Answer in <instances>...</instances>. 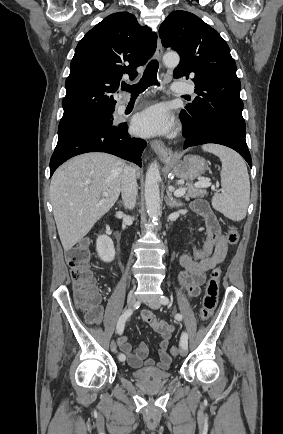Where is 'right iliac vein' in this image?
Returning a JSON list of instances; mask_svg holds the SVG:
<instances>
[{
  "mask_svg": "<svg viewBox=\"0 0 283 434\" xmlns=\"http://www.w3.org/2000/svg\"><path fill=\"white\" fill-rule=\"evenodd\" d=\"M136 302V297H135V293L134 290L130 291L127 297V307L128 309L132 308L134 306ZM110 349L113 353H116L117 349H116V343L115 341H112L110 344Z\"/></svg>",
  "mask_w": 283,
  "mask_h": 434,
  "instance_id": "1",
  "label": "right iliac vein"
}]
</instances>
